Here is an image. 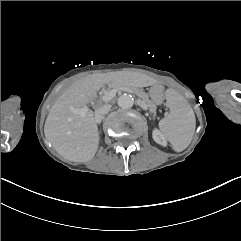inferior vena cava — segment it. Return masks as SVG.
I'll list each match as a JSON object with an SVG mask.
<instances>
[{
	"instance_id": "602c4592",
	"label": "inferior vena cava",
	"mask_w": 241,
	"mask_h": 241,
	"mask_svg": "<svg viewBox=\"0 0 241 241\" xmlns=\"http://www.w3.org/2000/svg\"><path fill=\"white\" fill-rule=\"evenodd\" d=\"M112 105L110 104H105L104 106L100 107L95 111V122L100 123L102 121L103 115L107 114Z\"/></svg>"
}]
</instances>
